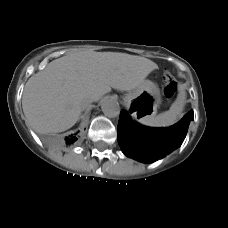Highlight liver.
Wrapping results in <instances>:
<instances>
[{
    "instance_id": "6515ba94",
    "label": "liver",
    "mask_w": 228,
    "mask_h": 228,
    "mask_svg": "<svg viewBox=\"0 0 228 228\" xmlns=\"http://www.w3.org/2000/svg\"><path fill=\"white\" fill-rule=\"evenodd\" d=\"M153 61L116 52H78L50 62L27 81L22 108L37 133L62 132L81 114L80 102H97L111 88L131 91L155 69Z\"/></svg>"
}]
</instances>
